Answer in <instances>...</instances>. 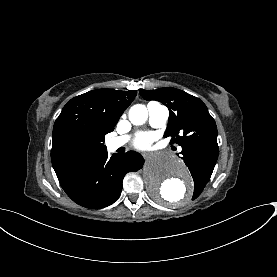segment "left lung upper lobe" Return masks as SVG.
<instances>
[{"mask_svg": "<svg viewBox=\"0 0 277 277\" xmlns=\"http://www.w3.org/2000/svg\"><path fill=\"white\" fill-rule=\"evenodd\" d=\"M140 94L145 100H157L169 108L165 137H172V144L177 143L185 147L205 141L217 142L216 123L199 98L171 87L140 91ZM210 177L211 173L193 176L195 186L193 198L200 195Z\"/></svg>", "mask_w": 277, "mask_h": 277, "instance_id": "left-lung-upper-lobe-1", "label": "left lung upper lobe"}]
</instances>
